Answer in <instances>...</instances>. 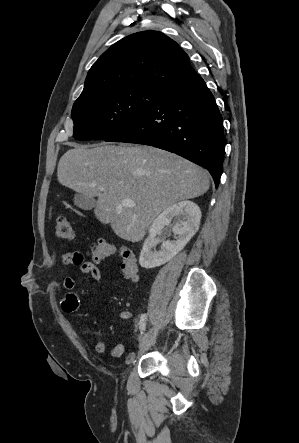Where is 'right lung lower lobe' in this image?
Segmentation results:
<instances>
[{"label": "right lung lower lobe", "mask_w": 299, "mask_h": 443, "mask_svg": "<svg viewBox=\"0 0 299 443\" xmlns=\"http://www.w3.org/2000/svg\"><path fill=\"white\" fill-rule=\"evenodd\" d=\"M105 141L145 144L176 153L208 169L218 187L224 157L222 116L196 73L163 90L146 113Z\"/></svg>", "instance_id": "right-lung-lower-lobe-1"}]
</instances>
